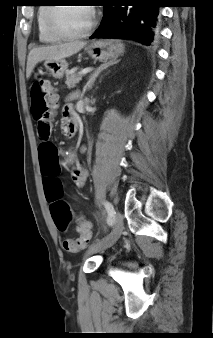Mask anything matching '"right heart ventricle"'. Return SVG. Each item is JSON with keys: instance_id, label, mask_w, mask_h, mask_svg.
<instances>
[{"instance_id": "1", "label": "right heart ventricle", "mask_w": 213, "mask_h": 338, "mask_svg": "<svg viewBox=\"0 0 213 338\" xmlns=\"http://www.w3.org/2000/svg\"><path fill=\"white\" fill-rule=\"evenodd\" d=\"M43 6H39L37 10V30H38V37L41 42L44 43H53L57 41L54 37H52L46 30V17L47 13L49 11V6H46L48 4L43 3L41 4Z\"/></svg>"}]
</instances>
